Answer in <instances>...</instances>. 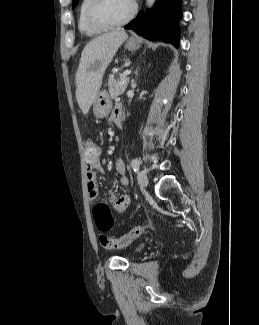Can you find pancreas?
I'll list each match as a JSON object with an SVG mask.
<instances>
[{
	"mask_svg": "<svg viewBox=\"0 0 259 325\" xmlns=\"http://www.w3.org/2000/svg\"><path fill=\"white\" fill-rule=\"evenodd\" d=\"M129 77L121 75L119 80H116L114 75L108 78L109 94L111 98H116L123 94L127 88Z\"/></svg>",
	"mask_w": 259,
	"mask_h": 325,
	"instance_id": "pancreas-1",
	"label": "pancreas"
}]
</instances>
